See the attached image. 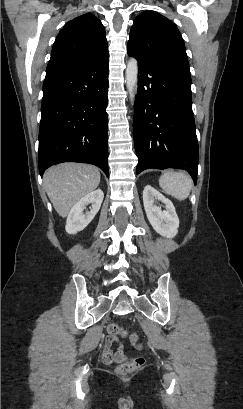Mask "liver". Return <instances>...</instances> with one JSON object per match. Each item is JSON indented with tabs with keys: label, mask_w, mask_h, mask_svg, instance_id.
Listing matches in <instances>:
<instances>
[{
	"label": "liver",
	"mask_w": 243,
	"mask_h": 409,
	"mask_svg": "<svg viewBox=\"0 0 243 409\" xmlns=\"http://www.w3.org/2000/svg\"><path fill=\"white\" fill-rule=\"evenodd\" d=\"M44 186L54 209L61 217L100 183L99 169L83 163H62L44 173Z\"/></svg>",
	"instance_id": "1"
}]
</instances>
